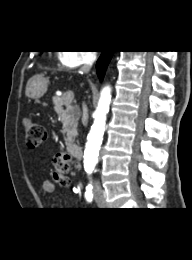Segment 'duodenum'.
Masks as SVG:
<instances>
[{"label": "duodenum", "instance_id": "410a0bca", "mask_svg": "<svg viewBox=\"0 0 192 260\" xmlns=\"http://www.w3.org/2000/svg\"><path fill=\"white\" fill-rule=\"evenodd\" d=\"M68 153L77 160H81L83 156V150L77 144L70 145L68 148Z\"/></svg>", "mask_w": 192, "mask_h": 260}]
</instances>
